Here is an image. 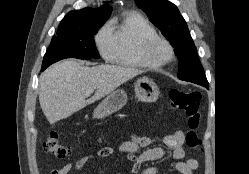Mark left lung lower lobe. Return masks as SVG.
Listing matches in <instances>:
<instances>
[{"label": "left lung lower lobe", "instance_id": "0a47b994", "mask_svg": "<svg viewBox=\"0 0 249 174\" xmlns=\"http://www.w3.org/2000/svg\"><path fill=\"white\" fill-rule=\"evenodd\" d=\"M189 82H193V83L202 85V86H204V87H206V88H209V86H208V81H207V79H205V78L196 79V80L189 81Z\"/></svg>", "mask_w": 249, "mask_h": 174}]
</instances>
